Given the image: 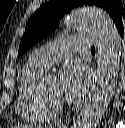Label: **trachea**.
<instances>
[{
  "instance_id": "obj_1",
  "label": "trachea",
  "mask_w": 125,
  "mask_h": 128,
  "mask_svg": "<svg viewBox=\"0 0 125 128\" xmlns=\"http://www.w3.org/2000/svg\"><path fill=\"white\" fill-rule=\"evenodd\" d=\"M91 51H95V48H94V47H92V48H91Z\"/></svg>"
}]
</instances>
